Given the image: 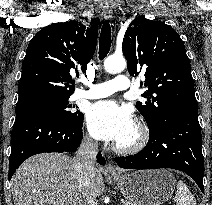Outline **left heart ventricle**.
Segmentation results:
<instances>
[{"label": "left heart ventricle", "mask_w": 212, "mask_h": 205, "mask_svg": "<svg viewBox=\"0 0 212 205\" xmlns=\"http://www.w3.org/2000/svg\"><path fill=\"white\" fill-rule=\"evenodd\" d=\"M135 138H136V128L134 126L133 130L125 138H123L122 140H120L117 143L129 144V143L133 142Z\"/></svg>", "instance_id": "b2bd125f"}]
</instances>
